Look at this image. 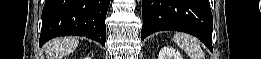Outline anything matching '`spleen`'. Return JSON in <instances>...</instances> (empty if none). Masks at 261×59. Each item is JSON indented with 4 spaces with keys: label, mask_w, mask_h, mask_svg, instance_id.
<instances>
[{
    "label": "spleen",
    "mask_w": 261,
    "mask_h": 59,
    "mask_svg": "<svg viewBox=\"0 0 261 59\" xmlns=\"http://www.w3.org/2000/svg\"><path fill=\"white\" fill-rule=\"evenodd\" d=\"M173 40L191 59H203L204 52L196 38L187 34L176 33Z\"/></svg>",
    "instance_id": "obj_1"
}]
</instances>
